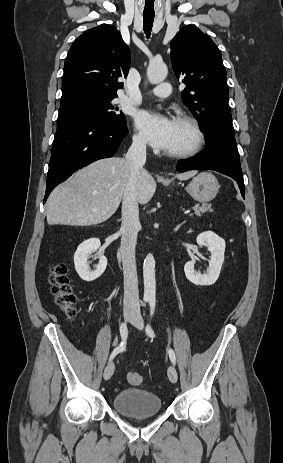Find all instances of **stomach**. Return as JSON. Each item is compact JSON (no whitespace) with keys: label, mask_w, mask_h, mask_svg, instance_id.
Segmentation results:
<instances>
[{"label":"stomach","mask_w":283,"mask_h":463,"mask_svg":"<svg viewBox=\"0 0 283 463\" xmlns=\"http://www.w3.org/2000/svg\"><path fill=\"white\" fill-rule=\"evenodd\" d=\"M219 187L218 180L212 173L201 172L192 179L185 190L196 201L207 203L216 197Z\"/></svg>","instance_id":"obj_1"}]
</instances>
